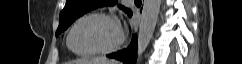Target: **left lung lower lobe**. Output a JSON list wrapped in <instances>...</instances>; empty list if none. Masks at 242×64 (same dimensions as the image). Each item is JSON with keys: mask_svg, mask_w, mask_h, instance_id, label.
<instances>
[{"mask_svg": "<svg viewBox=\"0 0 242 64\" xmlns=\"http://www.w3.org/2000/svg\"><path fill=\"white\" fill-rule=\"evenodd\" d=\"M128 15L131 16L132 13H129ZM107 57L119 60L123 62V64H135L137 57L136 35H133L131 43L126 49L116 53L108 54Z\"/></svg>", "mask_w": 242, "mask_h": 64, "instance_id": "left-lung-lower-lobe-1", "label": "left lung lower lobe"}]
</instances>
